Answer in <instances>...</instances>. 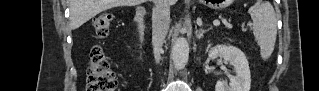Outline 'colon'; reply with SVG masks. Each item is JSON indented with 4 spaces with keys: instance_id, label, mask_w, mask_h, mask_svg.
<instances>
[{
    "instance_id": "1",
    "label": "colon",
    "mask_w": 319,
    "mask_h": 91,
    "mask_svg": "<svg viewBox=\"0 0 319 91\" xmlns=\"http://www.w3.org/2000/svg\"><path fill=\"white\" fill-rule=\"evenodd\" d=\"M114 21L111 12H102L92 19V26L98 36H105ZM117 79L110 69L109 63L100 46H93L89 52L87 90L88 91H115Z\"/></svg>"
}]
</instances>
